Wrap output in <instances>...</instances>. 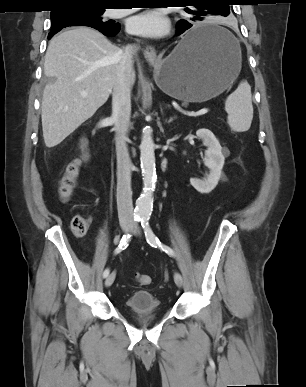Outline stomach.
Returning a JSON list of instances; mask_svg holds the SVG:
<instances>
[{
	"mask_svg": "<svg viewBox=\"0 0 306 387\" xmlns=\"http://www.w3.org/2000/svg\"><path fill=\"white\" fill-rule=\"evenodd\" d=\"M227 31L204 22L192 32ZM229 40H217L187 48L183 39L163 60L154 64L155 81L167 95L184 102H204L225 91L238 77L241 49L228 33Z\"/></svg>",
	"mask_w": 306,
	"mask_h": 387,
	"instance_id": "obj_1",
	"label": "stomach"
}]
</instances>
